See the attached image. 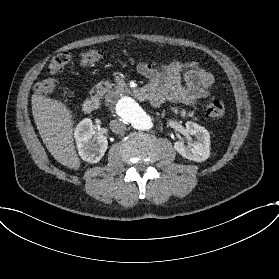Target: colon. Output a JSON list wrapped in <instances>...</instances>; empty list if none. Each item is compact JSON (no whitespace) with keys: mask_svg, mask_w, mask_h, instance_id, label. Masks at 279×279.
I'll use <instances>...</instances> for the list:
<instances>
[{"mask_svg":"<svg viewBox=\"0 0 279 279\" xmlns=\"http://www.w3.org/2000/svg\"><path fill=\"white\" fill-rule=\"evenodd\" d=\"M106 53L100 48H89L81 52L80 65L87 67L95 62L102 60ZM71 59L70 52H59L51 57L47 63V71L50 74H57L63 70ZM59 88L58 79L48 78L41 81L37 90L43 94L48 95ZM207 114L212 118H220L225 115L226 109L223 101L218 99H210L206 103Z\"/></svg>","mask_w":279,"mask_h":279,"instance_id":"5ec220e1","label":"colon"}]
</instances>
